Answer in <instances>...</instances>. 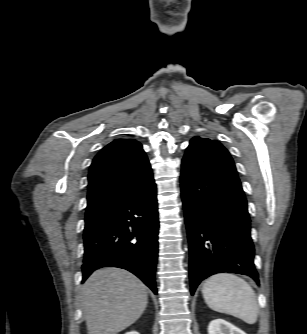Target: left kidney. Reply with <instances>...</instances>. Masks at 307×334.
<instances>
[{"label": "left kidney", "mask_w": 307, "mask_h": 334, "mask_svg": "<svg viewBox=\"0 0 307 334\" xmlns=\"http://www.w3.org/2000/svg\"><path fill=\"white\" fill-rule=\"evenodd\" d=\"M208 334H246L223 319H214L209 323Z\"/></svg>", "instance_id": "obj_1"}]
</instances>
